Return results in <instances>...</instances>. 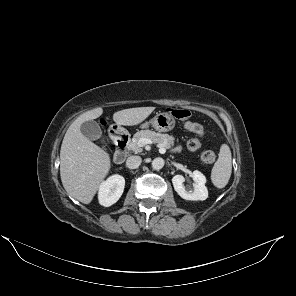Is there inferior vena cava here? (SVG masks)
Returning a JSON list of instances; mask_svg holds the SVG:
<instances>
[{"instance_id": "inferior-vena-cava-1", "label": "inferior vena cava", "mask_w": 296, "mask_h": 296, "mask_svg": "<svg viewBox=\"0 0 296 296\" xmlns=\"http://www.w3.org/2000/svg\"><path fill=\"white\" fill-rule=\"evenodd\" d=\"M142 158L140 156H130L127 158L126 165L130 169L138 168L141 165Z\"/></svg>"}]
</instances>
